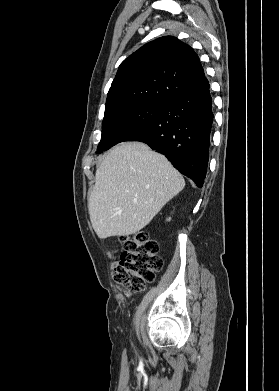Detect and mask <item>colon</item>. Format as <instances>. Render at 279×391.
<instances>
[{
    "label": "colon",
    "mask_w": 279,
    "mask_h": 391,
    "mask_svg": "<svg viewBox=\"0 0 279 391\" xmlns=\"http://www.w3.org/2000/svg\"><path fill=\"white\" fill-rule=\"evenodd\" d=\"M121 242L123 251L113 270V280L127 294L140 292L163 267L159 245L144 231L122 237Z\"/></svg>",
    "instance_id": "obj_1"
}]
</instances>
